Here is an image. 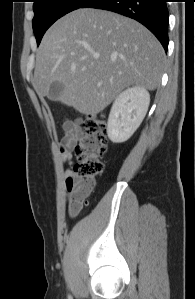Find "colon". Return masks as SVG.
Wrapping results in <instances>:
<instances>
[{
    "instance_id": "5ec220e1",
    "label": "colon",
    "mask_w": 195,
    "mask_h": 299,
    "mask_svg": "<svg viewBox=\"0 0 195 299\" xmlns=\"http://www.w3.org/2000/svg\"><path fill=\"white\" fill-rule=\"evenodd\" d=\"M107 125L101 116L88 118L82 136L75 146L77 162L73 181L68 191V212L76 215L87 203L96 178L104 171L103 156L107 151Z\"/></svg>"
}]
</instances>
